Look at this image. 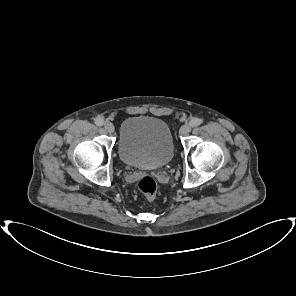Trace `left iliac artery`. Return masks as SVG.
<instances>
[{
  "instance_id": "obj_1",
  "label": "left iliac artery",
  "mask_w": 296,
  "mask_h": 296,
  "mask_svg": "<svg viewBox=\"0 0 296 296\" xmlns=\"http://www.w3.org/2000/svg\"><path fill=\"white\" fill-rule=\"evenodd\" d=\"M202 123V120L199 119V118H193L191 121H190V125L192 127H197L198 125H200Z\"/></svg>"
}]
</instances>
